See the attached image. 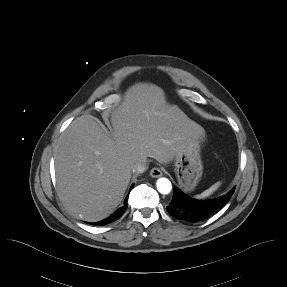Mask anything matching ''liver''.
<instances>
[{
    "label": "liver",
    "mask_w": 287,
    "mask_h": 287,
    "mask_svg": "<svg viewBox=\"0 0 287 287\" xmlns=\"http://www.w3.org/2000/svg\"><path fill=\"white\" fill-rule=\"evenodd\" d=\"M112 134L91 115L76 118L60 136L55 152L57 189L65 207L82 220L109 216L122 201L132 166L147 157L168 163L188 132L205 130L153 84L138 83L111 114Z\"/></svg>",
    "instance_id": "6515ba94"
}]
</instances>
